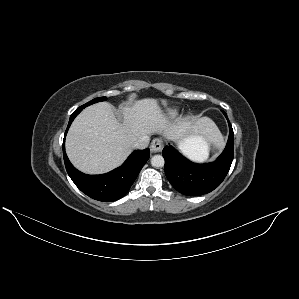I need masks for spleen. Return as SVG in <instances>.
<instances>
[{
  "label": "spleen",
  "instance_id": "obj_1",
  "mask_svg": "<svg viewBox=\"0 0 299 299\" xmlns=\"http://www.w3.org/2000/svg\"><path fill=\"white\" fill-rule=\"evenodd\" d=\"M211 128L216 127L213 121L210 119H205L204 120ZM190 156L192 159L197 160V161H204L208 158L209 151H208V145L203 147L201 150L198 151L196 154H187Z\"/></svg>",
  "mask_w": 299,
  "mask_h": 299
}]
</instances>
